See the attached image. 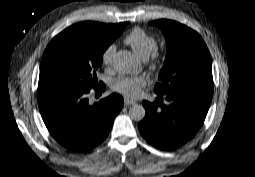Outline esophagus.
<instances>
[{"mask_svg": "<svg viewBox=\"0 0 255 177\" xmlns=\"http://www.w3.org/2000/svg\"><path fill=\"white\" fill-rule=\"evenodd\" d=\"M124 103H125L126 105H128V104H135V101L132 100V99H129V98H124Z\"/></svg>", "mask_w": 255, "mask_h": 177, "instance_id": "1", "label": "esophagus"}]
</instances>
